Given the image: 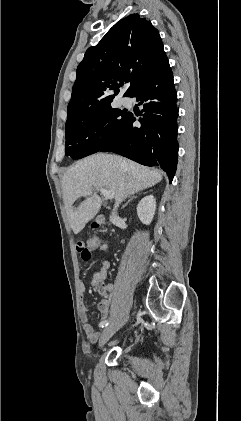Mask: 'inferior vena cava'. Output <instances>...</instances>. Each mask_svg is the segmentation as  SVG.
<instances>
[{
	"label": "inferior vena cava",
	"mask_w": 241,
	"mask_h": 421,
	"mask_svg": "<svg viewBox=\"0 0 241 421\" xmlns=\"http://www.w3.org/2000/svg\"><path fill=\"white\" fill-rule=\"evenodd\" d=\"M121 201L122 200H118V201L115 202V206L113 208L112 216H111L112 218L117 217V208L119 207V204L121 203Z\"/></svg>",
	"instance_id": "inferior-vena-cava-1"
}]
</instances>
